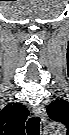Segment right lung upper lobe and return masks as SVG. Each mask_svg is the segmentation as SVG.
Instances as JSON below:
<instances>
[{
  "label": "right lung upper lobe",
  "mask_w": 69,
  "mask_h": 135,
  "mask_svg": "<svg viewBox=\"0 0 69 135\" xmlns=\"http://www.w3.org/2000/svg\"><path fill=\"white\" fill-rule=\"evenodd\" d=\"M29 116L27 108L20 104H8L0 112L1 133L23 135L24 124Z\"/></svg>",
  "instance_id": "cb5924a9"
}]
</instances>
